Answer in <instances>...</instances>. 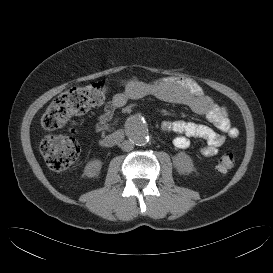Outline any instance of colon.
I'll use <instances>...</instances> for the list:
<instances>
[{"label": "colon", "instance_id": "obj_1", "mask_svg": "<svg viewBox=\"0 0 273 273\" xmlns=\"http://www.w3.org/2000/svg\"><path fill=\"white\" fill-rule=\"evenodd\" d=\"M109 92L110 84L107 81L66 92L57 97L46 109L41 120L42 126L47 130L62 128L70 118L102 105ZM40 150L47 166L54 171L67 169L80 154L79 144L68 136H48L42 140ZM234 163V153L227 151L218 158L217 168L220 171H227Z\"/></svg>", "mask_w": 273, "mask_h": 273}]
</instances>
